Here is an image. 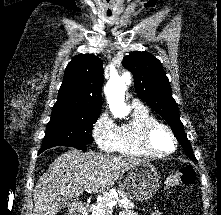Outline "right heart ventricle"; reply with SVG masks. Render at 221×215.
Instances as JSON below:
<instances>
[{
	"label": "right heart ventricle",
	"mask_w": 221,
	"mask_h": 215,
	"mask_svg": "<svg viewBox=\"0 0 221 215\" xmlns=\"http://www.w3.org/2000/svg\"><path fill=\"white\" fill-rule=\"evenodd\" d=\"M159 122L145 107L134 108L132 119L119 126L115 151L130 156H154L141 145V134L145 127Z\"/></svg>",
	"instance_id": "1"
}]
</instances>
